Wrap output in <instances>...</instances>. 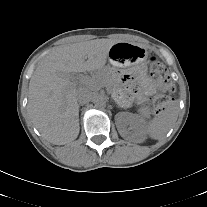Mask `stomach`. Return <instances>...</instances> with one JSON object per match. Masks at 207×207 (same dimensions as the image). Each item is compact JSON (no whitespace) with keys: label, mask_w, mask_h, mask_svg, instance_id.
<instances>
[{"label":"stomach","mask_w":207,"mask_h":207,"mask_svg":"<svg viewBox=\"0 0 207 207\" xmlns=\"http://www.w3.org/2000/svg\"><path fill=\"white\" fill-rule=\"evenodd\" d=\"M148 56L147 51L134 44L116 43L109 51V61L114 67L142 64Z\"/></svg>","instance_id":"0dacf381"}]
</instances>
